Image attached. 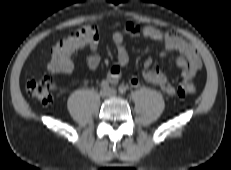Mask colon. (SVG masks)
I'll use <instances>...</instances> for the list:
<instances>
[{"label":"colon","instance_id":"obj_1","mask_svg":"<svg viewBox=\"0 0 231 170\" xmlns=\"http://www.w3.org/2000/svg\"><path fill=\"white\" fill-rule=\"evenodd\" d=\"M99 30L94 25H87L72 31L66 38L59 41L53 48L48 63L50 74L65 73L71 70V55L79 48L98 39ZM30 97L40 101L43 105H50L53 101L55 81L51 76H44L31 80L26 86ZM196 92L195 84L190 80H183L177 87L180 97H187Z\"/></svg>","mask_w":231,"mask_h":170}]
</instances>
